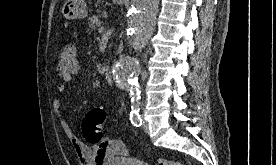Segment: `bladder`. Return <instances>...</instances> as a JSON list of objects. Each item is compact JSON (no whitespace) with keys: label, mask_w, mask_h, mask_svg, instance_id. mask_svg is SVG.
<instances>
[{"label":"bladder","mask_w":276,"mask_h":165,"mask_svg":"<svg viewBox=\"0 0 276 165\" xmlns=\"http://www.w3.org/2000/svg\"><path fill=\"white\" fill-rule=\"evenodd\" d=\"M108 165H149V164L137 159L117 157V158H114L112 162Z\"/></svg>","instance_id":"bladder-1"}]
</instances>
